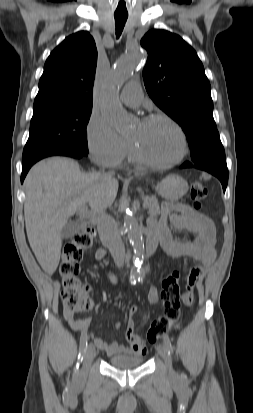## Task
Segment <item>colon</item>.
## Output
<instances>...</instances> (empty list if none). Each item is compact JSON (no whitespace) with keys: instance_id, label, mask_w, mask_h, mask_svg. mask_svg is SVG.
I'll return each instance as SVG.
<instances>
[{"instance_id":"1","label":"colon","mask_w":253,"mask_h":413,"mask_svg":"<svg viewBox=\"0 0 253 413\" xmlns=\"http://www.w3.org/2000/svg\"><path fill=\"white\" fill-rule=\"evenodd\" d=\"M207 189L200 181H194L190 187V197L195 209L201 208V201L206 197ZM95 230L86 227L75 233L64 245L58 272L61 276V297L66 312L75 314L89 311L93 301L88 296L89 286L82 282L79 263L83 251L93 242ZM180 273L173 271L168 274L161 285V300L165 308L164 315L154 320L147 333L149 342H155L171 330L181 317Z\"/></svg>"}]
</instances>
